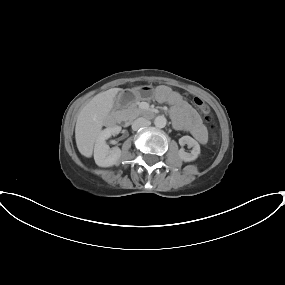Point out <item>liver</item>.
Masks as SVG:
<instances>
[{
  "label": "liver",
  "instance_id": "6515ba94",
  "mask_svg": "<svg viewBox=\"0 0 285 285\" xmlns=\"http://www.w3.org/2000/svg\"><path fill=\"white\" fill-rule=\"evenodd\" d=\"M118 88H112L94 96L79 112L75 139L79 152L85 157L93 154L94 143L114 105Z\"/></svg>",
  "mask_w": 285,
  "mask_h": 285
}]
</instances>
